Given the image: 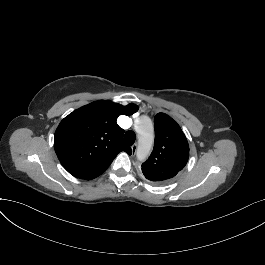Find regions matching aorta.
Listing matches in <instances>:
<instances>
[{"label":"aorta","mask_w":265,"mask_h":265,"mask_svg":"<svg viewBox=\"0 0 265 265\" xmlns=\"http://www.w3.org/2000/svg\"><path fill=\"white\" fill-rule=\"evenodd\" d=\"M144 128L141 131V136L138 144L137 157L139 160L145 159L153 145V128L150 119L144 118Z\"/></svg>","instance_id":"aorta-1"}]
</instances>
